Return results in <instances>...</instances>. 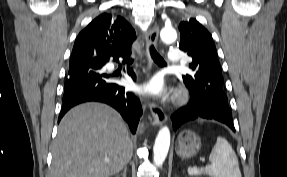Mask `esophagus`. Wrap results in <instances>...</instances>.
Returning <instances> with one entry per match:
<instances>
[{"label": "esophagus", "instance_id": "1", "mask_svg": "<svg viewBox=\"0 0 287 177\" xmlns=\"http://www.w3.org/2000/svg\"><path fill=\"white\" fill-rule=\"evenodd\" d=\"M158 34H159V28L156 25L149 28L145 34V39L147 42V49L145 52V56H146V61H147V71L148 72L152 66V59H151L149 48L151 45H156L157 39H158ZM149 108H150L152 118H153L152 124L154 126H161L166 120L165 112L163 111V109L159 105L152 103V102L149 103Z\"/></svg>", "mask_w": 287, "mask_h": 177}]
</instances>
